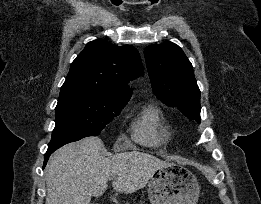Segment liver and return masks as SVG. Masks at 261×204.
I'll use <instances>...</instances> for the list:
<instances>
[{
  "label": "liver",
  "mask_w": 261,
  "mask_h": 204,
  "mask_svg": "<svg viewBox=\"0 0 261 204\" xmlns=\"http://www.w3.org/2000/svg\"><path fill=\"white\" fill-rule=\"evenodd\" d=\"M167 162L140 151L104 156L98 137H87L58 149L46 166L47 197L45 204H90L91 197L101 196L107 181L114 190L133 193L146 186L153 173Z\"/></svg>",
  "instance_id": "1"
}]
</instances>
